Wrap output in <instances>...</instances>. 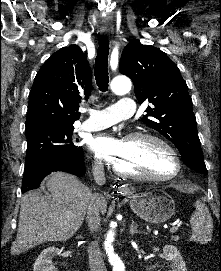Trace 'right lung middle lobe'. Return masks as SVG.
<instances>
[{
  "label": "right lung middle lobe",
  "instance_id": "right-lung-middle-lobe-1",
  "mask_svg": "<svg viewBox=\"0 0 221 271\" xmlns=\"http://www.w3.org/2000/svg\"><path fill=\"white\" fill-rule=\"evenodd\" d=\"M73 126L46 125L26 131L27 153L25 164L48 158L70 157L82 147L72 139Z\"/></svg>",
  "mask_w": 221,
  "mask_h": 271
}]
</instances>
